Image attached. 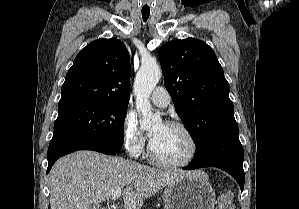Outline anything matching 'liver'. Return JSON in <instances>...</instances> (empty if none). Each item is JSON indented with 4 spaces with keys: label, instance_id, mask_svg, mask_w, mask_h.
Wrapping results in <instances>:
<instances>
[{
    "label": "liver",
    "instance_id": "6515ba94",
    "mask_svg": "<svg viewBox=\"0 0 299 209\" xmlns=\"http://www.w3.org/2000/svg\"><path fill=\"white\" fill-rule=\"evenodd\" d=\"M189 173L77 151L59 159L50 171V205L51 209H91L121 191L125 209H140L146 198Z\"/></svg>",
    "mask_w": 299,
    "mask_h": 209
}]
</instances>
